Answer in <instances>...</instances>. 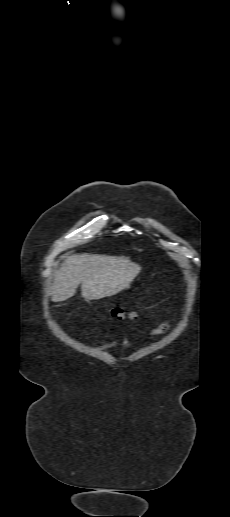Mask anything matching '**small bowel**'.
Returning <instances> with one entry per match:
<instances>
[{"mask_svg": "<svg viewBox=\"0 0 230 517\" xmlns=\"http://www.w3.org/2000/svg\"><path fill=\"white\" fill-rule=\"evenodd\" d=\"M170 327V322H164V323H161L160 325L156 326L155 328H153L151 330V334L152 335H160V334H163L164 332H166ZM116 342L114 341H109V342H105L102 344L101 348L102 349H111L115 346ZM126 346L128 348H131V344L130 343H126Z\"/></svg>", "mask_w": 230, "mask_h": 517, "instance_id": "c3829d8e", "label": "small bowel"}]
</instances>
